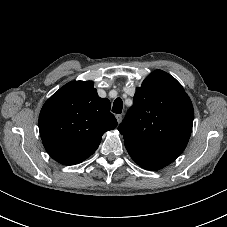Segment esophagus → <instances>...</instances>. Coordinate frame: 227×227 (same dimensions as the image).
Listing matches in <instances>:
<instances>
[{
	"instance_id": "obj_1",
	"label": "esophagus",
	"mask_w": 227,
	"mask_h": 227,
	"mask_svg": "<svg viewBox=\"0 0 227 227\" xmlns=\"http://www.w3.org/2000/svg\"><path fill=\"white\" fill-rule=\"evenodd\" d=\"M116 119H117L118 124H120L122 119H123V115L122 114H117L116 115Z\"/></svg>"
}]
</instances>
